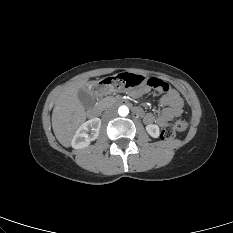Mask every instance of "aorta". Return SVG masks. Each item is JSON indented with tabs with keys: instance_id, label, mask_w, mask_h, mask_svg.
<instances>
[{
	"instance_id": "1",
	"label": "aorta",
	"mask_w": 233,
	"mask_h": 233,
	"mask_svg": "<svg viewBox=\"0 0 233 233\" xmlns=\"http://www.w3.org/2000/svg\"><path fill=\"white\" fill-rule=\"evenodd\" d=\"M128 113H129V109H128L127 106L123 105V106H120V107L118 108V114H119L120 116L125 117V116L128 115Z\"/></svg>"
}]
</instances>
